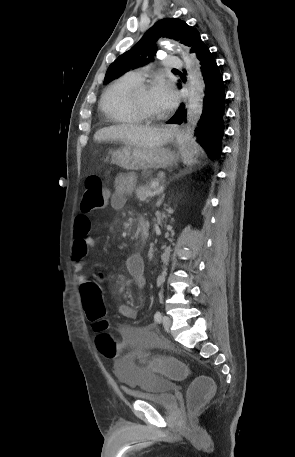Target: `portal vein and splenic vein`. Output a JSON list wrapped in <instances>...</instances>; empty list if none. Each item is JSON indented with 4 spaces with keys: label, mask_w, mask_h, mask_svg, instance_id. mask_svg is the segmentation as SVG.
Here are the masks:
<instances>
[{
    "label": "portal vein and splenic vein",
    "mask_w": 295,
    "mask_h": 457,
    "mask_svg": "<svg viewBox=\"0 0 295 457\" xmlns=\"http://www.w3.org/2000/svg\"><path fill=\"white\" fill-rule=\"evenodd\" d=\"M158 187H159V183H158V182H153V183H152V188H153V189H156V188H158Z\"/></svg>",
    "instance_id": "18ae733b"
}]
</instances>
